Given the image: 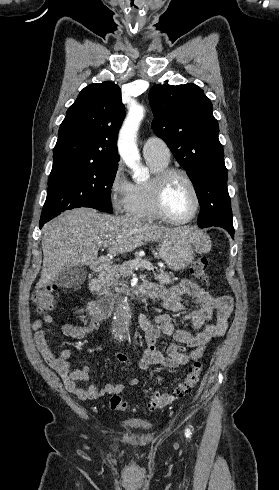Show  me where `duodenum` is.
<instances>
[{"label":"duodenum","mask_w":279,"mask_h":490,"mask_svg":"<svg viewBox=\"0 0 279 490\" xmlns=\"http://www.w3.org/2000/svg\"><path fill=\"white\" fill-rule=\"evenodd\" d=\"M105 263L102 260H96L92 263V270L94 272H100L104 269ZM135 292L139 295H146V289L144 285L133 289L129 285H122L115 289L113 294L103 297L101 300H90L87 304V310L89 314L97 320L107 319L113 310L114 299L119 296L129 295Z\"/></svg>","instance_id":"obj_1"}]
</instances>
